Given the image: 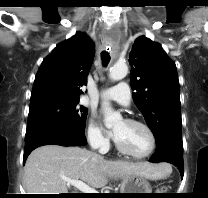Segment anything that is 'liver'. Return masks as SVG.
<instances>
[{
  "label": "liver",
  "mask_w": 208,
  "mask_h": 198,
  "mask_svg": "<svg viewBox=\"0 0 208 198\" xmlns=\"http://www.w3.org/2000/svg\"><path fill=\"white\" fill-rule=\"evenodd\" d=\"M170 168L165 164L109 161L84 148L44 145L35 149L24 167L23 184L27 194L68 193L63 178L82 180L100 188L109 179L138 175L147 179H161Z\"/></svg>",
  "instance_id": "6515ba94"
}]
</instances>
